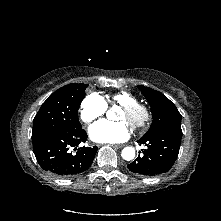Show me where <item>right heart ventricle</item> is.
I'll return each instance as SVG.
<instances>
[{
  "instance_id": "1",
  "label": "right heart ventricle",
  "mask_w": 221,
  "mask_h": 221,
  "mask_svg": "<svg viewBox=\"0 0 221 221\" xmlns=\"http://www.w3.org/2000/svg\"><path fill=\"white\" fill-rule=\"evenodd\" d=\"M137 102V97L127 91H119L106 97V103L119 104L121 106L130 105Z\"/></svg>"
}]
</instances>
